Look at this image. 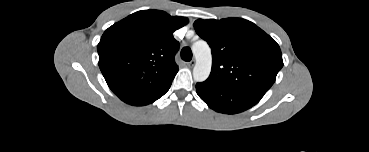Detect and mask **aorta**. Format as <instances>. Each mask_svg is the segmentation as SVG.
<instances>
[{"instance_id":"1","label":"aorta","mask_w":369,"mask_h":152,"mask_svg":"<svg viewBox=\"0 0 369 152\" xmlns=\"http://www.w3.org/2000/svg\"><path fill=\"white\" fill-rule=\"evenodd\" d=\"M192 53L196 59L193 68V78L196 82H203L209 77L211 72V49L206 41L198 40L192 45Z\"/></svg>"}]
</instances>
